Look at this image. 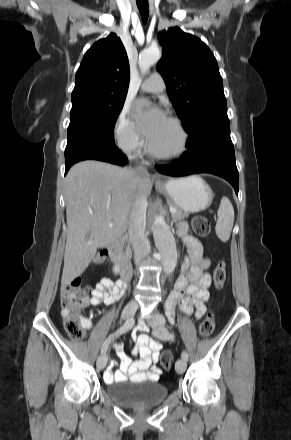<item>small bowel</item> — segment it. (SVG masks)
<instances>
[{
  "instance_id": "small-bowel-1",
  "label": "small bowel",
  "mask_w": 291,
  "mask_h": 440,
  "mask_svg": "<svg viewBox=\"0 0 291 440\" xmlns=\"http://www.w3.org/2000/svg\"><path fill=\"white\" fill-rule=\"evenodd\" d=\"M178 235L181 237L187 255L182 264V274L177 279L173 291L170 293L165 304L167 316L172 320L175 314V307L179 304L186 314H193L195 318H201L206 312V302L209 299L208 288L211 284V277L207 272L210 267V260L203 254L201 242L187 234V226L180 224ZM125 291V285L120 281L103 279L95 285L92 294V305L96 308L100 305H111L117 301ZM92 310L88 316H81L79 322L86 330L93 328ZM136 344L132 353L139 355L138 361H131L122 350L121 345L116 343L119 362H111L104 373L107 382H119L130 377L132 380H155L162 373L157 365L160 358L162 345L149 339L146 334H132Z\"/></svg>"
}]
</instances>
